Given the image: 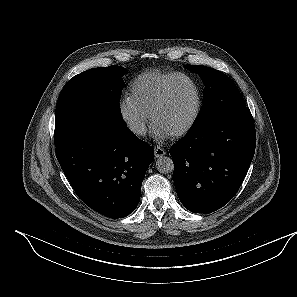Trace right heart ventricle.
<instances>
[{"mask_svg": "<svg viewBox=\"0 0 297 297\" xmlns=\"http://www.w3.org/2000/svg\"><path fill=\"white\" fill-rule=\"evenodd\" d=\"M176 72L151 70L137 76L130 85L131 100L147 115L166 84Z\"/></svg>", "mask_w": 297, "mask_h": 297, "instance_id": "e07e8e85", "label": "right heart ventricle"}]
</instances>
